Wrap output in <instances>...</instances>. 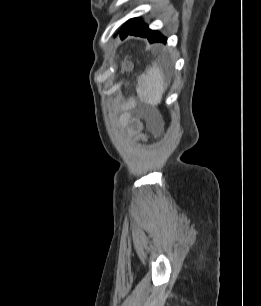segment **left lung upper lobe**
<instances>
[{"label":"left lung upper lobe","mask_w":261,"mask_h":306,"mask_svg":"<svg viewBox=\"0 0 261 306\" xmlns=\"http://www.w3.org/2000/svg\"><path fill=\"white\" fill-rule=\"evenodd\" d=\"M134 19V18H133ZM133 19L128 20L125 24L124 27L122 28L120 34L130 25V23L133 21Z\"/></svg>","instance_id":"1"}]
</instances>
